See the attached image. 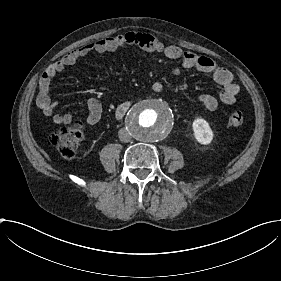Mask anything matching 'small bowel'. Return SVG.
Returning a JSON list of instances; mask_svg holds the SVG:
<instances>
[{"mask_svg":"<svg viewBox=\"0 0 281 281\" xmlns=\"http://www.w3.org/2000/svg\"><path fill=\"white\" fill-rule=\"evenodd\" d=\"M125 47H137L145 51L157 52L167 59L179 60L181 65L187 69L213 74L222 88L219 97L210 93H200L198 95L199 104L206 110L213 111L217 109L220 101L226 105L234 104L239 92V85L228 69L217 65L210 58L185 51L177 45L166 44L162 39L155 38L149 33L129 31L124 35L108 36L99 41L86 43L47 69L41 77L37 96V105L42 114L46 117H51L52 123L55 125L71 124L73 122L72 115L54 114L57 105L50 101L51 81L54 76L66 66L75 64L86 55L110 53ZM171 72L174 75L178 74V70L175 68L171 69ZM151 87L155 92H161L164 89V85L160 81H154ZM87 107L89 113L85 123L88 126L95 125L101 119L102 104L97 98L91 97L87 100Z\"/></svg>","mask_w":281,"mask_h":281,"instance_id":"c3829d8e","label":"small bowel"}]
</instances>
